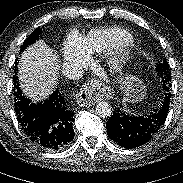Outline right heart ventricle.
Masks as SVG:
<instances>
[{
    "label": "right heart ventricle",
    "mask_w": 183,
    "mask_h": 183,
    "mask_svg": "<svg viewBox=\"0 0 183 183\" xmlns=\"http://www.w3.org/2000/svg\"><path fill=\"white\" fill-rule=\"evenodd\" d=\"M131 40V35L121 28H107L91 31L79 41L80 48L90 53H102L115 49Z\"/></svg>",
    "instance_id": "1"
}]
</instances>
